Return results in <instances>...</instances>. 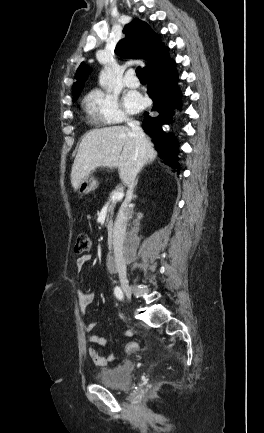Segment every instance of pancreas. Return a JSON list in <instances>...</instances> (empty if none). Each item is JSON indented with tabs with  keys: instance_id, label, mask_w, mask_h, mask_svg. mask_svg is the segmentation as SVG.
I'll return each instance as SVG.
<instances>
[{
	"instance_id": "obj_1",
	"label": "pancreas",
	"mask_w": 264,
	"mask_h": 433,
	"mask_svg": "<svg viewBox=\"0 0 264 433\" xmlns=\"http://www.w3.org/2000/svg\"><path fill=\"white\" fill-rule=\"evenodd\" d=\"M117 191H118V189L112 191V192L110 193V198H111L112 195H113L115 192H117ZM116 203H117V201H113V202L110 204L109 208H108V215H110L111 218L113 217V214H114V208H115V206H116ZM110 225H112V222H110Z\"/></svg>"
}]
</instances>
